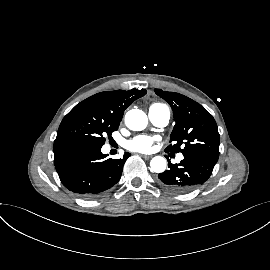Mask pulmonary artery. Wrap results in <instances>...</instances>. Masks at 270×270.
<instances>
[{
	"label": "pulmonary artery",
	"instance_id": "pulmonary-artery-1",
	"mask_svg": "<svg viewBox=\"0 0 270 270\" xmlns=\"http://www.w3.org/2000/svg\"><path fill=\"white\" fill-rule=\"evenodd\" d=\"M148 116H149L150 121L154 125L158 127H164L169 122L170 111L167 108H151L150 107ZM178 159H182V155H179Z\"/></svg>",
	"mask_w": 270,
	"mask_h": 270
}]
</instances>
